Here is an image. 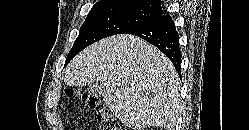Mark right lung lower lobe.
<instances>
[{
    "label": "right lung lower lobe",
    "instance_id": "obj_1",
    "mask_svg": "<svg viewBox=\"0 0 249 130\" xmlns=\"http://www.w3.org/2000/svg\"><path fill=\"white\" fill-rule=\"evenodd\" d=\"M126 33L141 37L157 47L171 60L178 74H181L179 36L169 15H162Z\"/></svg>",
    "mask_w": 249,
    "mask_h": 130
}]
</instances>
